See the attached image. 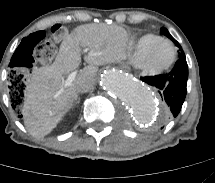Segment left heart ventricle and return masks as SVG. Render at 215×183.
<instances>
[{
  "label": "left heart ventricle",
  "instance_id": "1",
  "mask_svg": "<svg viewBox=\"0 0 215 183\" xmlns=\"http://www.w3.org/2000/svg\"><path fill=\"white\" fill-rule=\"evenodd\" d=\"M171 48L168 44L163 43L157 47V49L152 54V62L154 64H160L165 62L170 58Z\"/></svg>",
  "mask_w": 215,
  "mask_h": 183
}]
</instances>
